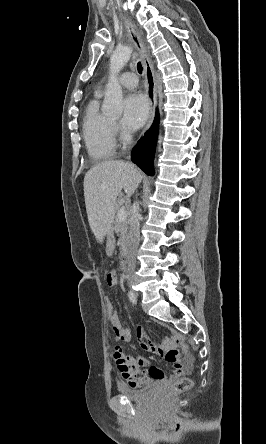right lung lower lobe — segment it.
Returning <instances> with one entry per match:
<instances>
[{
	"mask_svg": "<svg viewBox=\"0 0 266 444\" xmlns=\"http://www.w3.org/2000/svg\"><path fill=\"white\" fill-rule=\"evenodd\" d=\"M159 128V115L156 113L154 122L144 137L133 149L132 161L137 164L145 173L153 175L154 173V153Z\"/></svg>",
	"mask_w": 266,
	"mask_h": 444,
	"instance_id": "1",
	"label": "right lung lower lobe"
}]
</instances>
